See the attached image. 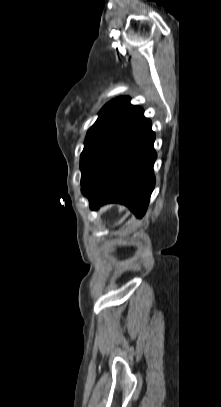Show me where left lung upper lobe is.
I'll use <instances>...</instances> for the list:
<instances>
[{
    "label": "left lung upper lobe",
    "mask_w": 221,
    "mask_h": 407,
    "mask_svg": "<svg viewBox=\"0 0 221 407\" xmlns=\"http://www.w3.org/2000/svg\"><path fill=\"white\" fill-rule=\"evenodd\" d=\"M140 109L130 104L129 97L116 98L102 108L99 118L87 132L80 156L81 186L98 160Z\"/></svg>",
    "instance_id": "left-lung-upper-lobe-1"
}]
</instances>
